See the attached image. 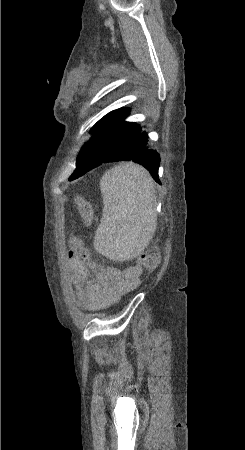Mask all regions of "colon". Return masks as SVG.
Listing matches in <instances>:
<instances>
[{"label": "colon", "instance_id": "colon-1", "mask_svg": "<svg viewBox=\"0 0 245 450\" xmlns=\"http://www.w3.org/2000/svg\"><path fill=\"white\" fill-rule=\"evenodd\" d=\"M74 205L86 226L91 225L95 216L94 206L82 197H77L74 201ZM69 248L74 254L75 259L78 261L86 262L90 259L89 252L79 236L71 237L69 240ZM158 262L159 256L156 247L146 249L137 258L138 266L146 271L154 270Z\"/></svg>", "mask_w": 245, "mask_h": 450}]
</instances>
